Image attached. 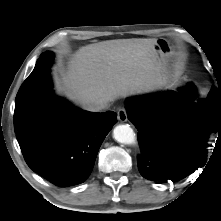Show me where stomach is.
I'll list each match as a JSON object with an SVG mask.
<instances>
[{
  "instance_id": "0dacf381",
  "label": "stomach",
  "mask_w": 221,
  "mask_h": 221,
  "mask_svg": "<svg viewBox=\"0 0 221 221\" xmlns=\"http://www.w3.org/2000/svg\"><path fill=\"white\" fill-rule=\"evenodd\" d=\"M156 59L160 64L161 86L168 88L170 86L169 63L173 55L171 43L166 39H158L155 46Z\"/></svg>"
}]
</instances>
